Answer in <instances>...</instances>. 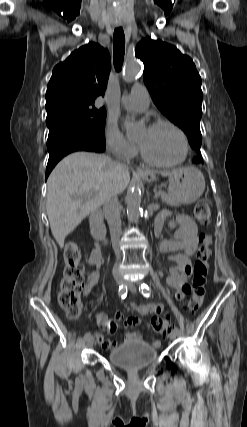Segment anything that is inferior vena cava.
I'll return each mask as SVG.
<instances>
[{
	"instance_id": "obj_1",
	"label": "inferior vena cava",
	"mask_w": 247,
	"mask_h": 427,
	"mask_svg": "<svg viewBox=\"0 0 247 427\" xmlns=\"http://www.w3.org/2000/svg\"><path fill=\"white\" fill-rule=\"evenodd\" d=\"M103 213L109 225L111 242L117 257V262L114 266V273L117 272L119 261L121 259V252L118 248V242L122 234L121 219H120V205L117 195L109 196L103 201Z\"/></svg>"
}]
</instances>
